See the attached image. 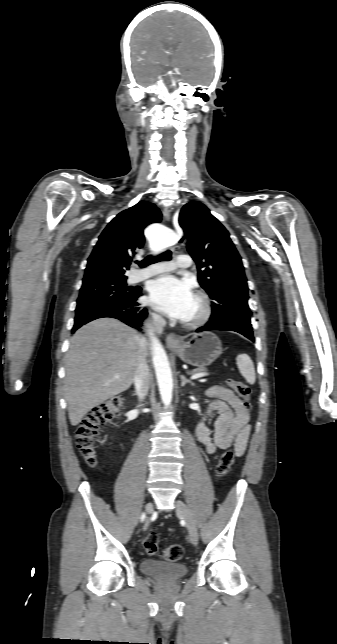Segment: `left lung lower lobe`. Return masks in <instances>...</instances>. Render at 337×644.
I'll return each instance as SVG.
<instances>
[{
  "mask_svg": "<svg viewBox=\"0 0 337 644\" xmlns=\"http://www.w3.org/2000/svg\"><path fill=\"white\" fill-rule=\"evenodd\" d=\"M210 330H222V331H235L238 332L251 341H255L253 332L249 330H245L241 327H238L234 324L224 322V321H209L205 326L200 327L196 330V332H202V331H210Z\"/></svg>",
  "mask_w": 337,
  "mask_h": 644,
  "instance_id": "1",
  "label": "left lung lower lobe"
}]
</instances>
